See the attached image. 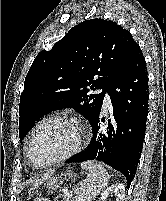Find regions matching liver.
I'll use <instances>...</instances> for the list:
<instances>
[{
    "instance_id": "6515ba94",
    "label": "liver",
    "mask_w": 166,
    "mask_h": 201,
    "mask_svg": "<svg viewBox=\"0 0 166 201\" xmlns=\"http://www.w3.org/2000/svg\"><path fill=\"white\" fill-rule=\"evenodd\" d=\"M52 173H48V174H45L44 177L36 180V182L34 183V187H37L38 185L42 184L45 180H48L50 178Z\"/></svg>"
}]
</instances>
